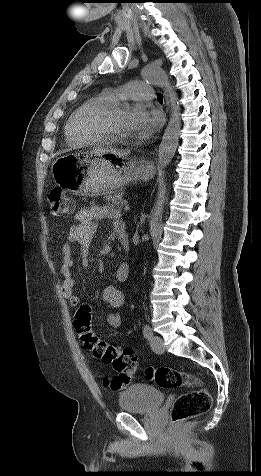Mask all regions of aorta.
<instances>
[{"label":"aorta","instance_id":"aorta-1","mask_svg":"<svg viewBox=\"0 0 261 476\" xmlns=\"http://www.w3.org/2000/svg\"><path fill=\"white\" fill-rule=\"evenodd\" d=\"M142 75L147 82L164 89L169 98L171 115L158 150V163L164 167L171 162L179 142L181 120L178 98L167 74L162 69L149 65L143 70Z\"/></svg>","mask_w":261,"mask_h":476}]
</instances>
